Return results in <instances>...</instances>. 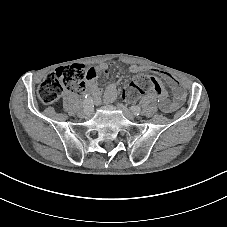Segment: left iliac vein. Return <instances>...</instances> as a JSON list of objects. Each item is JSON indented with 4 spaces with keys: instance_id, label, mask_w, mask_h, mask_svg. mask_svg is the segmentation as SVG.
<instances>
[{
    "instance_id": "obj_1",
    "label": "left iliac vein",
    "mask_w": 227,
    "mask_h": 227,
    "mask_svg": "<svg viewBox=\"0 0 227 227\" xmlns=\"http://www.w3.org/2000/svg\"><path fill=\"white\" fill-rule=\"evenodd\" d=\"M118 107L120 108V110L123 111L127 119L133 120L136 117V114L133 111L131 112L127 107L123 106L122 104H118ZM134 108H136V106H134Z\"/></svg>"
}]
</instances>
